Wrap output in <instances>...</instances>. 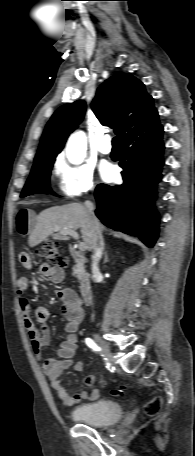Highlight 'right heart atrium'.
<instances>
[{
	"mask_svg": "<svg viewBox=\"0 0 195 456\" xmlns=\"http://www.w3.org/2000/svg\"><path fill=\"white\" fill-rule=\"evenodd\" d=\"M60 194L67 198L79 197L94 188L93 170L84 164L74 165L58 158L54 165Z\"/></svg>",
	"mask_w": 195,
	"mask_h": 456,
	"instance_id": "1",
	"label": "right heart atrium"
}]
</instances>
